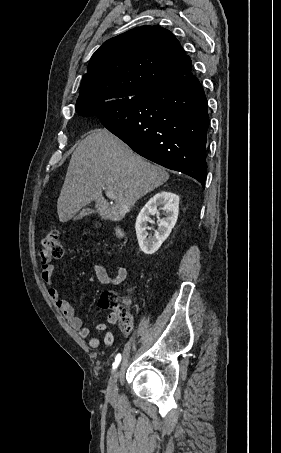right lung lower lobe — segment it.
Masks as SVG:
<instances>
[{
    "label": "right lung lower lobe",
    "instance_id": "right-lung-lower-lobe-1",
    "mask_svg": "<svg viewBox=\"0 0 281 453\" xmlns=\"http://www.w3.org/2000/svg\"><path fill=\"white\" fill-rule=\"evenodd\" d=\"M207 100L192 72L129 101L91 107L102 124L141 156L205 185Z\"/></svg>",
    "mask_w": 281,
    "mask_h": 453
}]
</instances>
